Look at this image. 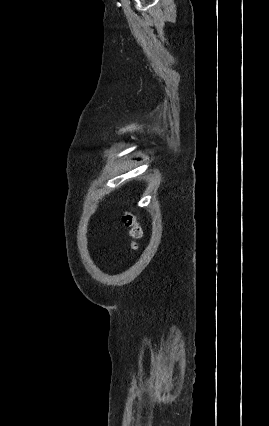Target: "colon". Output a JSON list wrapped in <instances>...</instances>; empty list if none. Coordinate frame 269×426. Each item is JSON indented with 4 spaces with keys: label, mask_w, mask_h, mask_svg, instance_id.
I'll return each mask as SVG.
<instances>
[{
    "label": "colon",
    "mask_w": 269,
    "mask_h": 426,
    "mask_svg": "<svg viewBox=\"0 0 269 426\" xmlns=\"http://www.w3.org/2000/svg\"><path fill=\"white\" fill-rule=\"evenodd\" d=\"M121 219L123 225L129 229V235L131 237L130 249L134 251L137 249L138 240L142 237V228L136 216L130 211H124Z\"/></svg>",
    "instance_id": "obj_1"
}]
</instances>
